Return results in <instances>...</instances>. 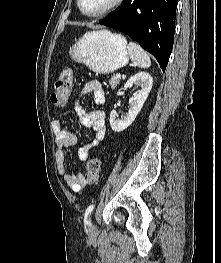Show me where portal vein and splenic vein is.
Here are the masks:
<instances>
[{
    "mask_svg": "<svg viewBox=\"0 0 221 263\" xmlns=\"http://www.w3.org/2000/svg\"><path fill=\"white\" fill-rule=\"evenodd\" d=\"M116 78H121V74H120V73H117V74H116Z\"/></svg>",
    "mask_w": 221,
    "mask_h": 263,
    "instance_id": "portal-vein-and-splenic-vein-1",
    "label": "portal vein and splenic vein"
}]
</instances>
